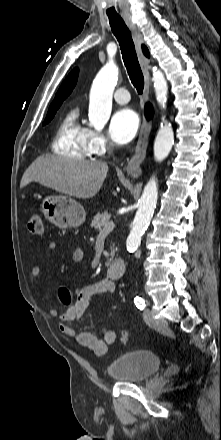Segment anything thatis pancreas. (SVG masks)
<instances>
[{
	"instance_id": "pancreas-1",
	"label": "pancreas",
	"mask_w": 221,
	"mask_h": 440,
	"mask_svg": "<svg viewBox=\"0 0 221 440\" xmlns=\"http://www.w3.org/2000/svg\"><path fill=\"white\" fill-rule=\"evenodd\" d=\"M111 215L107 211H103L101 213H97L92 220L91 227L95 228L98 231H101L102 228L109 223Z\"/></svg>"
}]
</instances>
